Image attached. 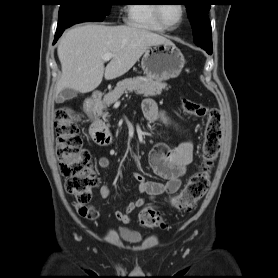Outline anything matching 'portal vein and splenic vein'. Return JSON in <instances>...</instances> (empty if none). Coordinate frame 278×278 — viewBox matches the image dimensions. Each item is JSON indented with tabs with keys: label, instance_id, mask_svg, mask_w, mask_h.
I'll return each instance as SVG.
<instances>
[{
	"label": "portal vein and splenic vein",
	"instance_id": "18ae733b",
	"mask_svg": "<svg viewBox=\"0 0 278 278\" xmlns=\"http://www.w3.org/2000/svg\"><path fill=\"white\" fill-rule=\"evenodd\" d=\"M114 55L111 53H105L103 55V61H109Z\"/></svg>",
	"mask_w": 278,
	"mask_h": 278
}]
</instances>
